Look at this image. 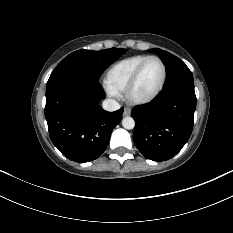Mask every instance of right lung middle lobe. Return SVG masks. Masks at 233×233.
Segmentation results:
<instances>
[{
    "label": "right lung middle lobe",
    "mask_w": 233,
    "mask_h": 233,
    "mask_svg": "<svg viewBox=\"0 0 233 233\" xmlns=\"http://www.w3.org/2000/svg\"><path fill=\"white\" fill-rule=\"evenodd\" d=\"M125 52L126 50L122 48H110L100 51H75L57 65L49 80L61 76L88 77L98 80L107 66Z\"/></svg>",
    "instance_id": "dd1d6c3e"
}]
</instances>
